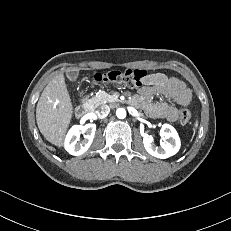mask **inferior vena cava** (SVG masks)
Wrapping results in <instances>:
<instances>
[{
    "instance_id": "602c4592",
    "label": "inferior vena cava",
    "mask_w": 231,
    "mask_h": 231,
    "mask_svg": "<svg viewBox=\"0 0 231 231\" xmlns=\"http://www.w3.org/2000/svg\"><path fill=\"white\" fill-rule=\"evenodd\" d=\"M110 112V107L108 105H101L96 113L100 118H105Z\"/></svg>"
}]
</instances>
